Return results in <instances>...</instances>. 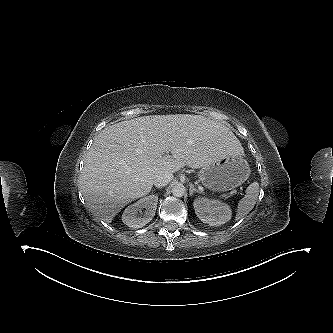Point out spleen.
Returning <instances> with one entry per match:
<instances>
[{"label":"spleen","instance_id":"3e777b00","mask_svg":"<svg viewBox=\"0 0 333 333\" xmlns=\"http://www.w3.org/2000/svg\"><path fill=\"white\" fill-rule=\"evenodd\" d=\"M259 194V184L253 182L246 189L245 196L239 201L236 211V220L247 215L255 206Z\"/></svg>","mask_w":333,"mask_h":333}]
</instances>
